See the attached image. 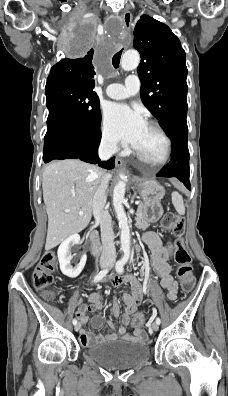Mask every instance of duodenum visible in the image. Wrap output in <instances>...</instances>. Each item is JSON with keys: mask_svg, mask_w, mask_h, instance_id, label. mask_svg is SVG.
<instances>
[{"mask_svg": "<svg viewBox=\"0 0 228 396\" xmlns=\"http://www.w3.org/2000/svg\"><path fill=\"white\" fill-rule=\"evenodd\" d=\"M90 238H91L92 243H93L94 251L97 252V250H98V244H97V236H96V234H95V233H92L91 236H90Z\"/></svg>", "mask_w": 228, "mask_h": 396, "instance_id": "1", "label": "duodenum"}]
</instances>
